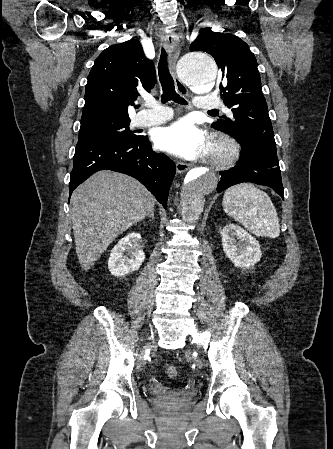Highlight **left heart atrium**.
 <instances>
[{"label":"left heart atrium","instance_id":"39dd6f15","mask_svg":"<svg viewBox=\"0 0 333 449\" xmlns=\"http://www.w3.org/2000/svg\"><path fill=\"white\" fill-rule=\"evenodd\" d=\"M154 140L160 149L185 159H196L208 151L206 134L189 119L159 128Z\"/></svg>","mask_w":333,"mask_h":449}]
</instances>
